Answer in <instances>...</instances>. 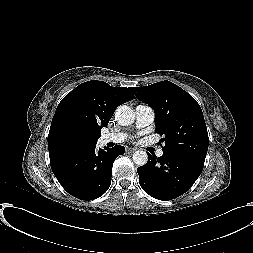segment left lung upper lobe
I'll use <instances>...</instances> for the list:
<instances>
[{
    "mask_svg": "<svg viewBox=\"0 0 253 253\" xmlns=\"http://www.w3.org/2000/svg\"><path fill=\"white\" fill-rule=\"evenodd\" d=\"M131 91L155 112V133L163 136V152L179 154L204 163L209 138L202 110L186 91L161 81Z\"/></svg>",
    "mask_w": 253,
    "mask_h": 253,
    "instance_id": "1",
    "label": "left lung upper lobe"
}]
</instances>
